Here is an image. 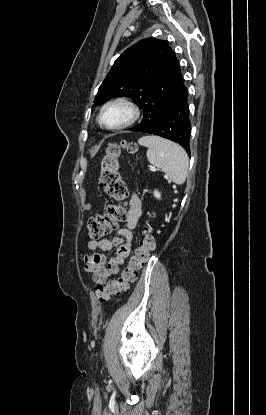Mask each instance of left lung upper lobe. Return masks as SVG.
Wrapping results in <instances>:
<instances>
[{
  "instance_id": "1",
  "label": "left lung upper lobe",
  "mask_w": 266,
  "mask_h": 415,
  "mask_svg": "<svg viewBox=\"0 0 266 415\" xmlns=\"http://www.w3.org/2000/svg\"><path fill=\"white\" fill-rule=\"evenodd\" d=\"M182 73L167 42L143 39L114 62L95 97L96 106L114 97L127 96L142 109L144 117L132 131L156 122L184 89Z\"/></svg>"
}]
</instances>
